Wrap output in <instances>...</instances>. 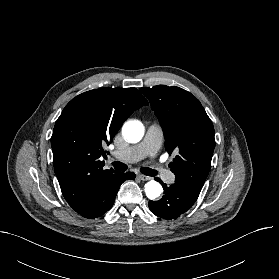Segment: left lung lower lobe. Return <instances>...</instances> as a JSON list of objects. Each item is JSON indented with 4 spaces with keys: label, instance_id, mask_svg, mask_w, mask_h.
Listing matches in <instances>:
<instances>
[{
    "label": "left lung lower lobe",
    "instance_id": "1",
    "mask_svg": "<svg viewBox=\"0 0 279 279\" xmlns=\"http://www.w3.org/2000/svg\"><path fill=\"white\" fill-rule=\"evenodd\" d=\"M164 188V196L158 201H149V208L153 214L164 219H174L185 213L197 200L200 192L185 188L179 184L167 187L160 179Z\"/></svg>",
    "mask_w": 279,
    "mask_h": 279
}]
</instances>
